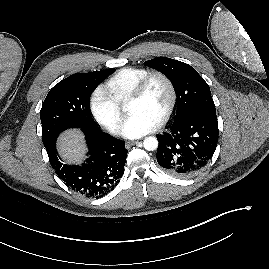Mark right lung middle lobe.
<instances>
[{
	"instance_id": "obj_1",
	"label": "right lung middle lobe",
	"mask_w": 269,
	"mask_h": 269,
	"mask_svg": "<svg viewBox=\"0 0 269 269\" xmlns=\"http://www.w3.org/2000/svg\"><path fill=\"white\" fill-rule=\"evenodd\" d=\"M114 69L73 74L57 83L46 96L40 118L44 146L68 128H98L89 110V97L95 87Z\"/></svg>"
}]
</instances>
